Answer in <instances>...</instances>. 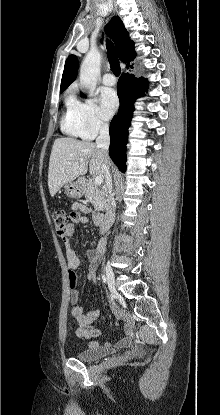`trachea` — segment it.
<instances>
[{
    "label": "trachea",
    "mask_w": 220,
    "mask_h": 415,
    "mask_svg": "<svg viewBox=\"0 0 220 415\" xmlns=\"http://www.w3.org/2000/svg\"><path fill=\"white\" fill-rule=\"evenodd\" d=\"M107 53H108V59H109L112 72L116 76H119L121 73V68L119 65V60L116 55L115 47L111 42L107 43Z\"/></svg>",
    "instance_id": "1"
}]
</instances>
